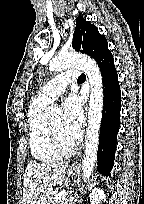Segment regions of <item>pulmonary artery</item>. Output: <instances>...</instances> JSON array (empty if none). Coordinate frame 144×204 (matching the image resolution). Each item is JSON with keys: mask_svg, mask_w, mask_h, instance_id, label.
Masks as SVG:
<instances>
[{"mask_svg": "<svg viewBox=\"0 0 144 204\" xmlns=\"http://www.w3.org/2000/svg\"><path fill=\"white\" fill-rule=\"evenodd\" d=\"M78 75V71L70 70L56 76L39 91L36 100L46 105L54 102L65 91L67 84Z\"/></svg>", "mask_w": 144, "mask_h": 204, "instance_id": "obj_1", "label": "pulmonary artery"}]
</instances>
